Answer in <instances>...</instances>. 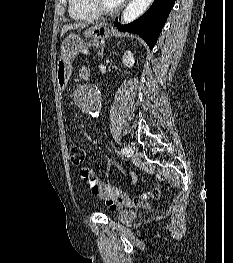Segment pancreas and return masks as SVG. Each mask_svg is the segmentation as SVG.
<instances>
[{"label": "pancreas", "mask_w": 233, "mask_h": 263, "mask_svg": "<svg viewBox=\"0 0 233 263\" xmlns=\"http://www.w3.org/2000/svg\"><path fill=\"white\" fill-rule=\"evenodd\" d=\"M98 43L96 41H88L84 43V48L88 49L89 47H97Z\"/></svg>", "instance_id": "cf45deb5"}]
</instances>
